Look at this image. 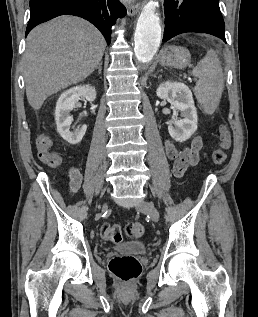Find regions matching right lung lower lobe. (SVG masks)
Returning <instances> with one entry per match:
<instances>
[{
    "mask_svg": "<svg viewBox=\"0 0 258 317\" xmlns=\"http://www.w3.org/2000/svg\"><path fill=\"white\" fill-rule=\"evenodd\" d=\"M26 35L38 24L60 15L82 17L95 25L110 44L111 26L126 10L118 0H30Z\"/></svg>",
    "mask_w": 258,
    "mask_h": 317,
    "instance_id": "98d812e1",
    "label": "right lung lower lobe"
}]
</instances>
